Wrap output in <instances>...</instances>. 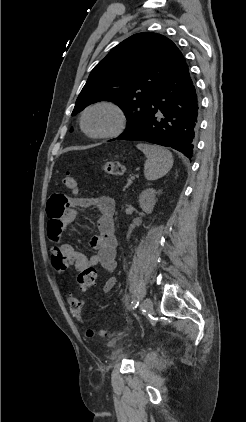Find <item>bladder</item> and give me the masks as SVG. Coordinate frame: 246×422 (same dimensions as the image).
Instances as JSON below:
<instances>
[{
    "mask_svg": "<svg viewBox=\"0 0 246 422\" xmlns=\"http://www.w3.org/2000/svg\"><path fill=\"white\" fill-rule=\"evenodd\" d=\"M148 360L151 361V362H156L158 359H157L156 356L151 355V356L148 357Z\"/></svg>",
    "mask_w": 246,
    "mask_h": 422,
    "instance_id": "31cf9c89",
    "label": "bladder"
}]
</instances>
